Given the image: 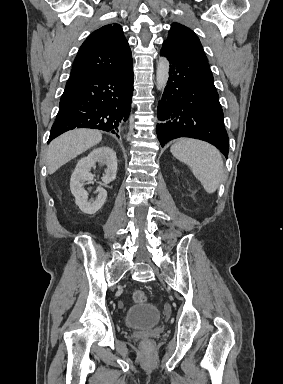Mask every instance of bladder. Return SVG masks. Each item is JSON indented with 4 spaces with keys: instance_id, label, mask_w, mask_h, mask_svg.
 I'll list each match as a JSON object with an SVG mask.
<instances>
[{
    "instance_id": "bladder-1",
    "label": "bladder",
    "mask_w": 283,
    "mask_h": 384,
    "mask_svg": "<svg viewBox=\"0 0 283 384\" xmlns=\"http://www.w3.org/2000/svg\"><path fill=\"white\" fill-rule=\"evenodd\" d=\"M160 320V311L153 303L130 304L123 316V323L129 328H149Z\"/></svg>"
}]
</instances>
